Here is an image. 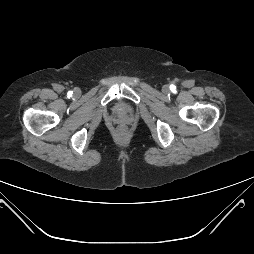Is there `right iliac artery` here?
Returning <instances> with one entry per match:
<instances>
[{
	"label": "right iliac artery",
	"mask_w": 254,
	"mask_h": 254,
	"mask_svg": "<svg viewBox=\"0 0 254 254\" xmlns=\"http://www.w3.org/2000/svg\"><path fill=\"white\" fill-rule=\"evenodd\" d=\"M72 95V92H68V97H70Z\"/></svg>",
	"instance_id": "1"
}]
</instances>
